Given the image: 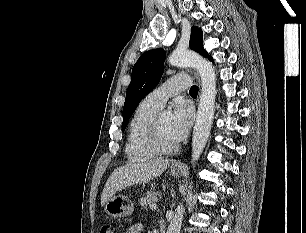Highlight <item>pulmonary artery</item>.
I'll list each match as a JSON object with an SVG mask.
<instances>
[{
  "mask_svg": "<svg viewBox=\"0 0 306 233\" xmlns=\"http://www.w3.org/2000/svg\"><path fill=\"white\" fill-rule=\"evenodd\" d=\"M190 77L186 75H175L166 80L162 85L149 93L145 102L156 108L161 109L167 99L187 90L190 87Z\"/></svg>",
  "mask_w": 306,
  "mask_h": 233,
  "instance_id": "1",
  "label": "pulmonary artery"
}]
</instances>
